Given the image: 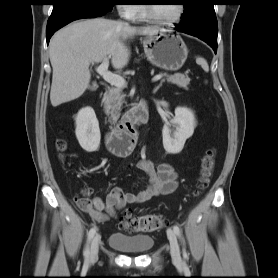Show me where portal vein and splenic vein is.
Here are the masks:
<instances>
[{
    "mask_svg": "<svg viewBox=\"0 0 278 278\" xmlns=\"http://www.w3.org/2000/svg\"><path fill=\"white\" fill-rule=\"evenodd\" d=\"M109 66V59L106 57L104 58L103 62L96 68L97 73H99L105 81L114 85L117 88H124L126 87V81L123 77L113 74L108 70ZM163 75H156L152 80L154 82L159 81Z\"/></svg>",
    "mask_w": 278,
    "mask_h": 278,
    "instance_id": "18ae733b",
    "label": "portal vein and splenic vein"
}]
</instances>
